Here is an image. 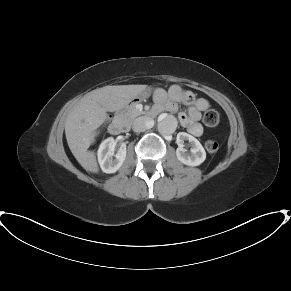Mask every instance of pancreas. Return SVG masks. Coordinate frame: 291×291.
Returning a JSON list of instances; mask_svg holds the SVG:
<instances>
[{
  "label": "pancreas",
  "mask_w": 291,
  "mask_h": 291,
  "mask_svg": "<svg viewBox=\"0 0 291 291\" xmlns=\"http://www.w3.org/2000/svg\"><path fill=\"white\" fill-rule=\"evenodd\" d=\"M142 114H144V112L139 110L135 103L126 106L119 112V116L124 123H132L136 117Z\"/></svg>",
  "instance_id": "1"
}]
</instances>
